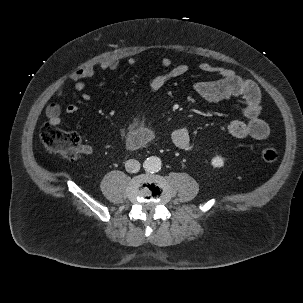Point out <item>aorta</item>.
Instances as JSON below:
<instances>
[{"label":"aorta","mask_w":303,"mask_h":303,"mask_svg":"<svg viewBox=\"0 0 303 303\" xmlns=\"http://www.w3.org/2000/svg\"><path fill=\"white\" fill-rule=\"evenodd\" d=\"M161 165V159L157 156L148 157L143 164L145 171L150 173L159 171L161 169Z\"/></svg>","instance_id":"aorta-1"}]
</instances>
